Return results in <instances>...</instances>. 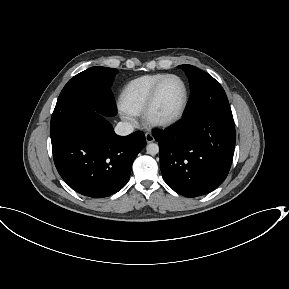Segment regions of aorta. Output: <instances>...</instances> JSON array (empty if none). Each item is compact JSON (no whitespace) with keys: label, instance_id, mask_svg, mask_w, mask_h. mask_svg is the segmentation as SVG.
Returning a JSON list of instances; mask_svg holds the SVG:
<instances>
[{"label":"aorta","instance_id":"762f6f07","mask_svg":"<svg viewBox=\"0 0 289 289\" xmlns=\"http://www.w3.org/2000/svg\"><path fill=\"white\" fill-rule=\"evenodd\" d=\"M146 151L150 155H156L159 152V146L156 143H150L147 145Z\"/></svg>","mask_w":289,"mask_h":289}]
</instances>
